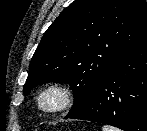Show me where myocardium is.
Wrapping results in <instances>:
<instances>
[{"label":"myocardium","mask_w":147,"mask_h":131,"mask_svg":"<svg viewBox=\"0 0 147 131\" xmlns=\"http://www.w3.org/2000/svg\"><path fill=\"white\" fill-rule=\"evenodd\" d=\"M53 95L56 97V104L46 106L44 104L45 97ZM76 95L69 84L64 82H50L43 85L35 94L34 102L37 109L47 115L60 114L68 111L74 104Z\"/></svg>","instance_id":"1"}]
</instances>
